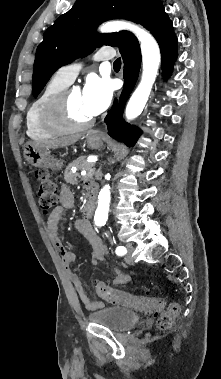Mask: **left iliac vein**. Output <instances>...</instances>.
Instances as JSON below:
<instances>
[{
    "label": "left iliac vein",
    "instance_id": "left-iliac-vein-1",
    "mask_svg": "<svg viewBox=\"0 0 221 379\" xmlns=\"http://www.w3.org/2000/svg\"><path fill=\"white\" fill-rule=\"evenodd\" d=\"M127 250H128V253L125 256V261L128 264L133 265L134 264V259L131 257V253L134 251V247L132 245H127Z\"/></svg>",
    "mask_w": 221,
    "mask_h": 379
}]
</instances>
